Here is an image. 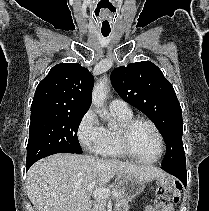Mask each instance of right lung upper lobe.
Returning <instances> with one entry per match:
<instances>
[{"instance_id":"cb5924a9","label":"right lung upper lobe","mask_w":209,"mask_h":211,"mask_svg":"<svg viewBox=\"0 0 209 211\" xmlns=\"http://www.w3.org/2000/svg\"><path fill=\"white\" fill-rule=\"evenodd\" d=\"M92 74L78 63L54 66L39 83L31 116L85 114L91 105Z\"/></svg>"}]
</instances>
